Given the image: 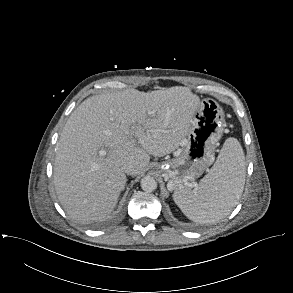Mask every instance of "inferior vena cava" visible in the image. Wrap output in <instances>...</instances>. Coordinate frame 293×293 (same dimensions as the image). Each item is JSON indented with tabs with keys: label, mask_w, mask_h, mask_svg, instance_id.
<instances>
[{
	"label": "inferior vena cava",
	"mask_w": 293,
	"mask_h": 293,
	"mask_svg": "<svg viewBox=\"0 0 293 293\" xmlns=\"http://www.w3.org/2000/svg\"><path fill=\"white\" fill-rule=\"evenodd\" d=\"M124 171H125V173H127V174H133L134 173V171H135V166H134V164H132V163H128V164H126L125 166H124Z\"/></svg>",
	"instance_id": "602c4592"
}]
</instances>
